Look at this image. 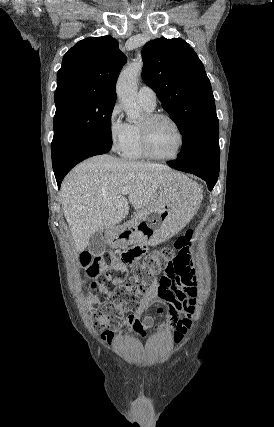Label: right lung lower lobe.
<instances>
[{"label": "right lung lower lobe", "instance_id": "right-lung-lower-lobe-1", "mask_svg": "<svg viewBox=\"0 0 274 427\" xmlns=\"http://www.w3.org/2000/svg\"><path fill=\"white\" fill-rule=\"evenodd\" d=\"M112 147L109 142H93L89 143L82 148L76 150L70 154L64 161L59 165L53 167L55 178L57 180L58 188H60L61 182L64 176L79 162L83 161L88 157L94 155H100L107 153Z\"/></svg>", "mask_w": 274, "mask_h": 427}]
</instances>
